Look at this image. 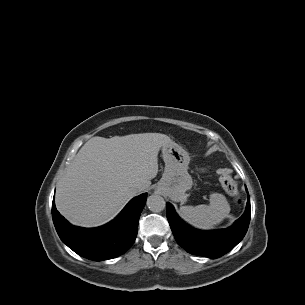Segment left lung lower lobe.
<instances>
[{
    "mask_svg": "<svg viewBox=\"0 0 305 305\" xmlns=\"http://www.w3.org/2000/svg\"><path fill=\"white\" fill-rule=\"evenodd\" d=\"M167 219L178 244L187 252L218 258L232 250L245 236L250 222V200L244 214L227 229L216 231L196 230L186 225L176 215L171 204H166Z\"/></svg>",
    "mask_w": 305,
    "mask_h": 305,
    "instance_id": "obj_1",
    "label": "left lung lower lobe"
}]
</instances>
